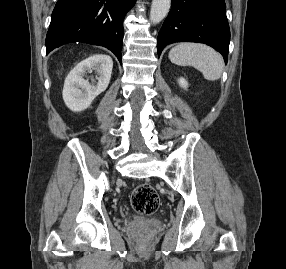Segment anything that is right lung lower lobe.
I'll use <instances>...</instances> for the list:
<instances>
[{"instance_id": "98d812e1", "label": "right lung lower lobe", "mask_w": 286, "mask_h": 269, "mask_svg": "<svg viewBox=\"0 0 286 269\" xmlns=\"http://www.w3.org/2000/svg\"><path fill=\"white\" fill-rule=\"evenodd\" d=\"M136 0H58L46 36V54L70 42L101 45L121 62L123 19Z\"/></svg>"}]
</instances>
